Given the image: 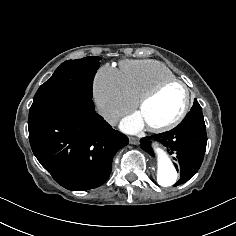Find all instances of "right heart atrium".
I'll return each instance as SVG.
<instances>
[{"label": "right heart atrium", "mask_w": 236, "mask_h": 236, "mask_svg": "<svg viewBox=\"0 0 236 236\" xmlns=\"http://www.w3.org/2000/svg\"><path fill=\"white\" fill-rule=\"evenodd\" d=\"M93 96L98 115L109 125L135 105L123 74L108 64L101 66L94 76Z\"/></svg>", "instance_id": "d8ad5b80"}]
</instances>
